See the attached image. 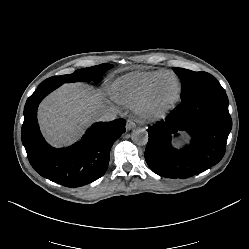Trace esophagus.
Returning a JSON list of instances; mask_svg holds the SVG:
<instances>
[{"label":"esophagus","instance_id":"1","mask_svg":"<svg viewBox=\"0 0 249 249\" xmlns=\"http://www.w3.org/2000/svg\"><path fill=\"white\" fill-rule=\"evenodd\" d=\"M136 127V124L134 123V121L132 119H127L126 122V129L127 130H132Z\"/></svg>","mask_w":249,"mask_h":249}]
</instances>
